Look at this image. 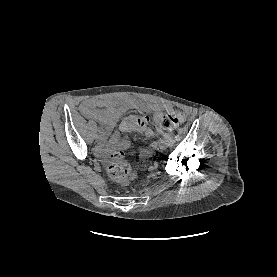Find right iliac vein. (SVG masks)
I'll list each match as a JSON object with an SVG mask.
<instances>
[{
  "instance_id": "obj_1",
  "label": "right iliac vein",
  "mask_w": 277,
  "mask_h": 277,
  "mask_svg": "<svg viewBox=\"0 0 277 277\" xmlns=\"http://www.w3.org/2000/svg\"><path fill=\"white\" fill-rule=\"evenodd\" d=\"M95 140H96L97 143L101 142V138L99 136H96Z\"/></svg>"
}]
</instances>
